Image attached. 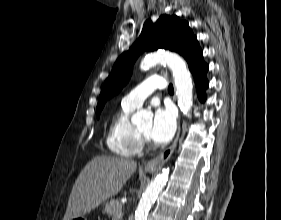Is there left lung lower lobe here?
Instances as JSON below:
<instances>
[{
    "instance_id": "1",
    "label": "left lung lower lobe",
    "mask_w": 281,
    "mask_h": 220,
    "mask_svg": "<svg viewBox=\"0 0 281 220\" xmlns=\"http://www.w3.org/2000/svg\"><path fill=\"white\" fill-rule=\"evenodd\" d=\"M189 69L194 76L198 97L201 101L205 100V89L208 87L206 73L208 65L203 61L202 54L197 55L188 62Z\"/></svg>"
}]
</instances>
